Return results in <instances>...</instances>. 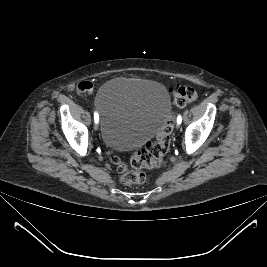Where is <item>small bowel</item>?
I'll return each mask as SVG.
<instances>
[{"instance_id": "1", "label": "small bowel", "mask_w": 267, "mask_h": 267, "mask_svg": "<svg viewBox=\"0 0 267 267\" xmlns=\"http://www.w3.org/2000/svg\"><path fill=\"white\" fill-rule=\"evenodd\" d=\"M92 85L90 82L83 81L78 84V91L81 94H88L91 91Z\"/></svg>"}]
</instances>
